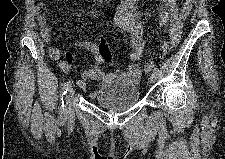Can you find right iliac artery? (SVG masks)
I'll return each mask as SVG.
<instances>
[{
  "label": "right iliac artery",
  "instance_id": "82829eb1",
  "mask_svg": "<svg viewBox=\"0 0 225 159\" xmlns=\"http://www.w3.org/2000/svg\"><path fill=\"white\" fill-rule=\"evenodd\" d=\"M71 86V81H67L65 84H64V87H63V95H66L69 87ZM64 101H63V96H62V101L60 103V106H59V112L61 114V116L64 114Z\"/></svg>",
  "mask_w": 225,
  "mask_h": 159
}]
</instances>
